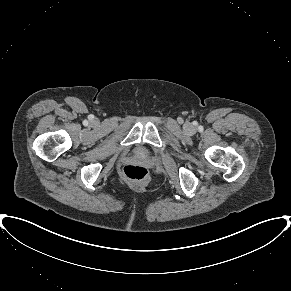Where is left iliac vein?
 Here are the masks:
<instances>
[{
  "instance_id": "left-iliac-vein-1",
  "label": "left iliac vein",
  "mask_w": 291,
  "mask_h": 291,
  "mask_svg": "<svg viewBox=\"0 0 291 291\" xmlns=\"http://www.w3.org/2000/svg\"><path fill=\"white\" fill-rule=\"evenodd\" d=\"M187 129H188V131H192L193 127L191 125H188Z\"/></svg>"
}]
</instances>
